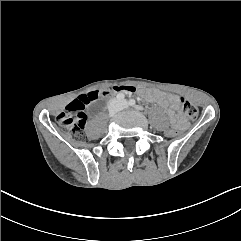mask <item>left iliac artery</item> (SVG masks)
Segmentation results:
<instances>
[{"label":"left iliac artery","mask_w":241,"mask_h":241,"mask_svg":"<svg viewBox=\"0 0 241 241\" xmlns=\"http://www.w3.org/2000/svg\"><path fill=\"white\" fill-rule=\"evenodd\" d=\"M135 104H136V102H135L134 99L129 100V105H130V106H135ZM136 108H137V109H140L139 106H136Z\"/></svg>","instance_id":"obj_1"}]
</instances>
